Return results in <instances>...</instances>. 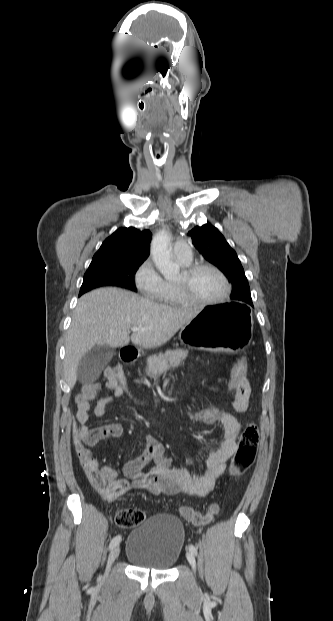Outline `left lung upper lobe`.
<instances>
[{
    "label": "left lung upper lobe",
    "mask_w": 333,
    "mask_h": 621,
    "mask_svg": "<svg viewBox=\"0 0 333 621\" xmlns=\"http://www.w3.org/2000/svg\"><path fill=\"white\" fill-rule=\"evenodd\" d=\"M188 235L204 258L230 277L231 299L234 303H246L253 306L249 284L241 262L219 230L207 223L194 227Z\"/></svg>",
    "instance_id": "obj_1"
}]
</instances>
